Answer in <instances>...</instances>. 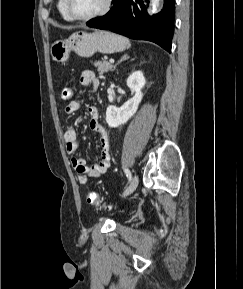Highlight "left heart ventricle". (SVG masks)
<instances>
[{
    "label": "left heart ventricle",
    "mask_w": 243,
    "mask_h": 289,
    "mask_svg": "<svg viewBox=\"0 0 243 289\" xmlns=\"http://www.w3.org/2000/svg\"><path fill=\"white\" fill-rule=\"evenodd\" d=\"M104 3L105 0H71V8L77 16H89L101 10Z\"/></svg>",
    "instance_id": "1"
}]
</instances>
